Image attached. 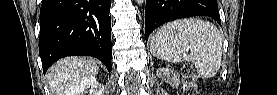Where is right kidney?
<instances>
[{"label":"right kidney","mask_w":277,"mask_h":95,"mask_svg":"<svg viewBox=\"0 0 277 95\" xmlns=\"http://www.w3.org/2000/svg\"><path fill=\"white\" fill-rule=\"evenodd\" d=\"M98 85L94 76L83 78L81 81L77 82L69 95H83L87 89H89V95H102V91L97 90Z\"/></svg>","instance_id":"right-kidney-1"}]
</instances>
